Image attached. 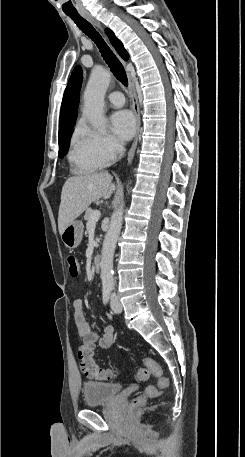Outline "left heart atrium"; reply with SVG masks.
Returning a JSON list of instances; mask_svg holds the SVG:
<instances>
[{
    "instance_id": "left-heart-atrium-1",
    "label": "left heart atrium",
    "mask_w": 245,
    "mask_h": 457,
    "mask_svg": "<svg viewBox=\"0 0 245 457\" xmlns=\"http://www.w3.org/2000/svg\"><path fill=\"white\" fill-rule=\"evenodd\" d=\"M111 124L122 140L130 139L135 131L136 122L133 115L129 111H118L111 117Z\"/></svg>"
}]
</instances>
